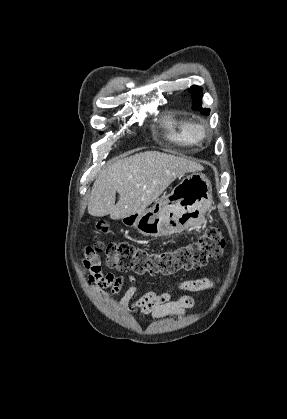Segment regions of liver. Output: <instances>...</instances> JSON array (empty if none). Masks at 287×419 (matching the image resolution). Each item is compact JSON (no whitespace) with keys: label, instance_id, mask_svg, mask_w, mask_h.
I'll list each match as a JSON object with an SVG mask.
<instances>
[{"label":"liver","instance_id":"obj_1","mask_svg":"<svg viewBox=\"0 0 287 419\" xmlns=\"http://www.w3.org/2000/svg\"><path fill=\"white\" fill-rule=\"evenodd\" d=\"M203 169L184 156L145 151L109 164L96 178L88 200L91 216L113 220L145 210L179 176ZM116 193L119 200L115 204Z\"/></svg>","mask_w":287,"mask_h":419}]
</instances>
